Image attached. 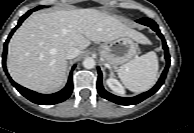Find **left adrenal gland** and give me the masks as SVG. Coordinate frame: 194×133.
Listing matches in <instances>:
<instances>
[{
    "mask_svg": "<svg viewBox=\"0 0 194 133\" xmlns=\"http://www.w3.org/2000/svg\"><path fill=\"white\" fill-rule=\"evenodd\" d=\"M110 76H111V77L114 76V72L112 71V69H110Z\"/></svg>",
    "mask_w": 194,
    "mask_h": 133,
    "instance_id": "a2214340",
    "label": "left adrenal gland"
}]
</instances>
